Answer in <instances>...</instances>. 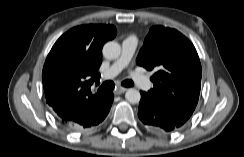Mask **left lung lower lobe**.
Instances as JSON below:
<instances>
[{
    "mask_svg": "<svg viewBox=\"0 0 244 157\" xmlns=\"http://www.w3.org/2000/svg\"><path fill=\"white\" fill-rule=\"evenodd\" d=\"M139 119L156 134H170L182 125L170 115L169 111L155 97L141 91L138 109Z\"/></svg>",
    "mask_w": 244,
    "mask_h": 157,
    "instance_id": "obj_1",
    "label": "left lung lower lobe"
}]
</instances>
